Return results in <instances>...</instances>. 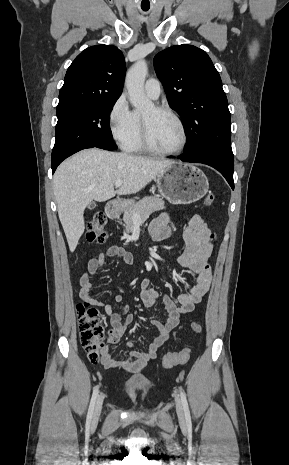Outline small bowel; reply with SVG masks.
I'll return each instance as SVG.
<instances>
[{
    "label": "small bowel",
    "instance_id": "small-bowel-1",
    "mask_svg": "<svg viewBox=\"0 0 289 465\" xmlns=\"http://www.w3.org/2000/svg\"><path fill=\"white\" fill-rule=\"evenodd\" d=\"M184 220L185 251L179 257L181 267L193 271L196 275L195 283L185 293L178 297L175 303L168 295L160 294L151 287L150 280L145 278L140 283V297L146 307H153L159 298L166 310L165 321L153 319L151 325L156 329L157 335L149 343L147 350L139 351L133 343H128L129 357L124 361H116L111 353L110 346L116 345L121 336L135 322V317L129 313V308L124 305L119 312H113V305L121 304L123 298L116 295L112 302H103L95 299L92 294L91 277L101 268L106 258L119 257L124 263L131 265L134 262L132 253L118 246H111L105 252L99 253L89 260L87 270L80 279V298L91 305L103 308L110 320V329L107 334V344L101 350V363L106 369L121 368L129 373L139 374L149 361L156 358L157 351L168 339L170 332L178 325L182 315L194 310L209 291L212 281L209 257L213 245L211 232L203 218L197 214L182 215ZM172 216L169 213L158 215L150 225V233L155 241H163L170 237Z\"/></svg>",
    "mask_w": 289,
    "mask_h": 465
}]
</instances>
